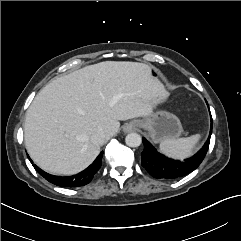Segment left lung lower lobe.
Instances as JSON below:
<instances>
[{"mask_svg":"<svg viewBox=\"0 0 241 241\" xmlns=\"http://www.w3.org/2000/svg\"><path fill=\"white\" fill-rule=\"evenodd\" d=\"M204 146L192 157L179 161L170 159L156 151V149L146 140L142 139L144 150L141 153V164L153 177L161 179H176L194 171L203 161L210 143V136Z\"/></svg>","mask_w":241,"mask_h":241,"instance_id":"0a47b994","label":"left lung lower lobe"}]
</instances>
